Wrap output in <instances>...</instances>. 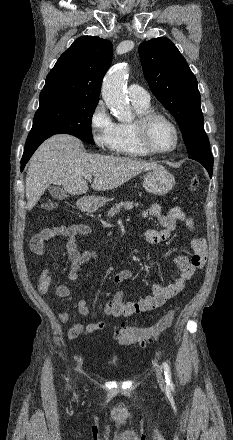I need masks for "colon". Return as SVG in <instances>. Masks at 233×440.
I'll return each mask as SVG.
<instances>
[{
  "label": "colon",
  "instance_id": "5ec220e1",
  "mask_svg": "<svg viewBox=\"0 0 233 440\" xmlns=\"http://www.w3.org/2000/svg\"><path fill=\"white\" fill-rule=\"evenodd\" d=\"M199 183V178L193 177L189 182V190H197ZM43 208L46 211L54 212L58 209V204L48 201L44 203ZM175 314L176 311L172 310L148 327H138L127 324L117 325L113 332L114 339L121 345H138L144 347L148 342L156 339L163 331L172 325Z\"/></svg>",
  "mask_w": 233,
  "mask_h": 440
}]
</instances>
